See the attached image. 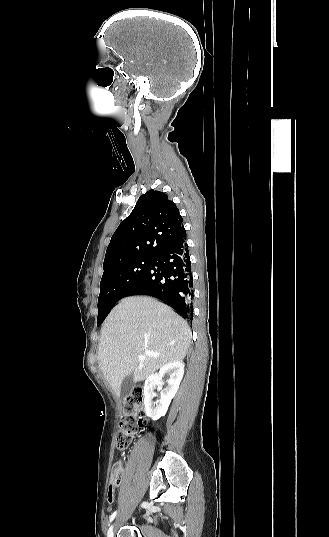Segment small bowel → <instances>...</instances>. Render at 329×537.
Masks as SVG:
<instances>
[{
  "label": "small bowel",
  "mask_w": 329,
  "mask_h": 537,
  "mask_svg": "<svg viewBox=\"0 0 329 537\" xmlns=\"http://www.w3.org/2000/svg\"><path fill=\"white\" fill-rule=\"evenodd\" d=\"M118 469H120V464L119 463L115 464V466L113 467V475L115 474V472ZM113 500H114L113 495H109V502L112 503Z\"/></svg>",
  "instance_id": "obj_1"
}]
</instances>
